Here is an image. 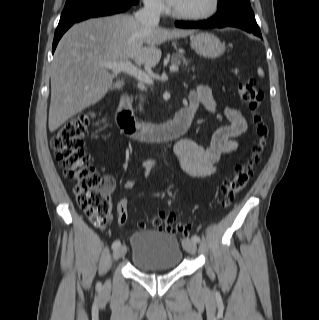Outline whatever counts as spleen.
<instances>
[{
    "instance_id": "spleen-1",
    "label": "spleen",
    "mask_w": 319,
    "mask_h": 320,
    "mask_svg": "<svg viewBox=\"0 0 319 320\" xmlns=\"http://www.w3.org/2000/svg\"><path fill=\"white\" fill-rule=\"evenodd\" d=\"M257 73L259 76L263 77L264 76V72L263 70L259 67L258 70H257Z\"/></svg>"
}]
</instances>
